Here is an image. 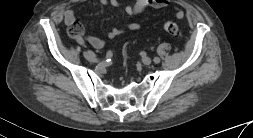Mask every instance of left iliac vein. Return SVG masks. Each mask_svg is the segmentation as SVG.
I'll use <instances>...</instances> for the list:
<instances>
[{
  "mask_svg": "<svg viewBox=\"0 0 253 138\" xmlns=\"http://www.w3.org/2000/svg\"><path fill=\"white\" fill-rule=\"evenodd\" d=\"M142 63L145 64V65H150L152 60L151 58L147 57V56H143L142 59H141Z\"/></svg>",
  "mask_w": 253,
  "mask_h": 138,
  "instance_id": "4c4485c4",
  "label": "left iliac vein"
}]
</instances>
